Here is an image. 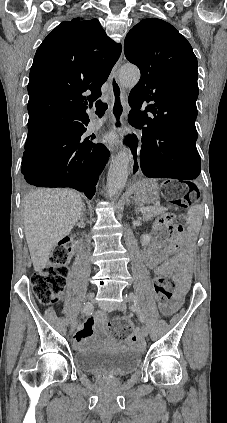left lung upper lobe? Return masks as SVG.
I'll list each match as a JSON object with an SVG mask.
<instances>
[{
  "instance_id": "5c2ea615",
  "label": "left lung upper lobe",
  "mask_w": 227,
  "mask_h": 423,
  "mask_svg": "<svg viewBox=\"0 0 227 423\" xmlns=\"http://www.w3.org/2000/svg\"><path fill=\"white\" fill-rule=\"evenodd\" d=\"M127 60L141 78L128 97L132 110L197 116V58L189 42L169 23L148 18L127 34Z\"/></svg>"
}]
</instances>
